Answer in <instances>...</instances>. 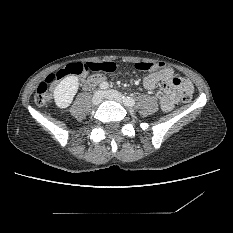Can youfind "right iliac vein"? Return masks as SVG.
<instances>
[{
    "label": "right iliac vein",
    "mask_w": 233,
    "mask_h": 233,
    "mask_svg": "<svg viewBox=\"0 0 233 233\" xmlns=\"http://www.w3.org/2000/svg\"><path fill=\"white\" fill-rule=\"evenodd\" d=\"M103 100V93L101 91H96L92 97V104L97 106Z\"/></svg>",
    "instance_id": "obj_1"
}]
</instances>
